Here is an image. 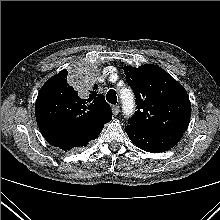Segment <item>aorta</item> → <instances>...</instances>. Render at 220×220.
Listing matches in <instances>:
<instances>
[{
  "mask_svg": "<svg viewBox=\"0 0 220 220\" xmlns=\"http://www.w3.org/2000/svg\"><path fill=\"white\" fill-rule=\"evenodd\" d=\"M121 98H122V110L126 117H129L133 114L135 103H134V97L130 90L125 89L120 92Z\"/></svg>",
  "mask_w": 220,
  "mask_h": 220,
  "instance_id": "aorta-1",
  "label": "aorta"
}]
</instances>
